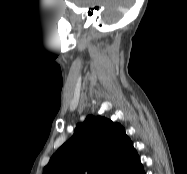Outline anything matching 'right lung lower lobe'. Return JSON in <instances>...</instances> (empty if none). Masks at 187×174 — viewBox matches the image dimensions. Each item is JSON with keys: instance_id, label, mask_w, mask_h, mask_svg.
Wrapping results in <instances>:
<instances>
[{"instance_id": "98d812e1", "label": "right lung lower lobe", "mask_w": 187, "mask_h": 174, "mask_svg": "<svg viewBox=\"0 0 187 174\" xmlns=\"http://www.w3.org/2000/svg\"><path fill=\"white\" fill-rule=\"evenodd\" d=\"M136 174H145V172H144V170H143V168L139 171V172H137Z\"/></svg>"}]
</instances>
